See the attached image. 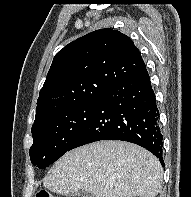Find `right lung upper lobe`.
<instances>
[{
  "label": "right lung upper lobe",
  "instance_id": "obj_1",
  "mask_svg": "<svg viewBox=\"0 0 191 197\" xmlns=\"http://www.w3.org/2000/svg\"><path fill=\"white\" fill-rule=\"evenodd\" d=\"M144 69L133 41L117 30L100 29L78 38L55 55L33 126L66 108L98 101L108 87Z\"/></svg>",
  "mask_w": 191,
  "mask_h": 197
}]
</instances>
